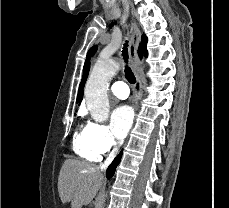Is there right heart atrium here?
Masks as SVG:
<instances>
[{
  "instance_id": "obj_1",
  "label": "right heart atrium",
  "mask_w": 229,
  "mask_h": 208,
  "mask_svg": "<svg viewBox=\"0 0 229 208\" xmlns=\"http://www.w3.org/2000/svg\"><path fill=\"white\" fill-rule=\"evenodd\" d=\"M87 144L99 155L109 152L116 144L110 128L98 122H88L85 127Z\"/></svg>"
}]
</instances>
